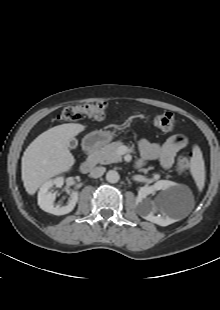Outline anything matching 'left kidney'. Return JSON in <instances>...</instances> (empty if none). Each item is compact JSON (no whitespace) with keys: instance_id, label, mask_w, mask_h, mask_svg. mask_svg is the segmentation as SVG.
<instances>
[{"instance_id":"1","label":"left kidney","mask_w":220,"mask_h":310,"mask_svg":"<svg viewBox=\"0 0 220 310\" xmlns=\"http://www.w3.org/2000/svg\"><path fill=\"white\" fill-rule=\"evenodd\" d=\"M178 189V185L175 182L169 180L157 181L152 186L141 187L138 191L136 202L138 204L139 214L142 218L158 224L160 226H167L172 222V219L168 216H155L154 211L157 207H162L166 203V198L158 197L155 201H150L147 196L154 191L163 190L167 194L175 192Z\"/></svg>"}]
</instances>
